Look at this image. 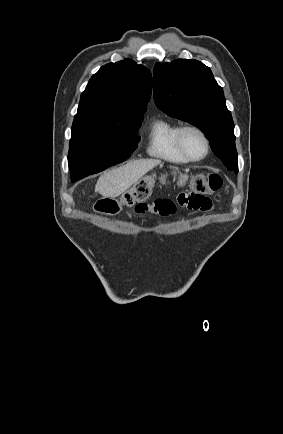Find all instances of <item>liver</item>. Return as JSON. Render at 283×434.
<instances>
[{"label":"liver","instance_id":"liver-1","mask_svg":"<svg viewBox=\"0 0 283 434\" xmlns=\"http://www.w3.org/2000/svg\"><path fill=\"white\" fill-rule=\"evenodd\" d=\"M160 163L157 159H140L128 162L122 167L104 173L98 179L95 191L104 197L116 198Z\"/></svg>","mask_w":283,"mask_h":434}]
</instances>
